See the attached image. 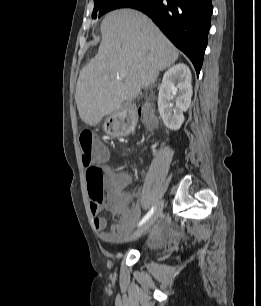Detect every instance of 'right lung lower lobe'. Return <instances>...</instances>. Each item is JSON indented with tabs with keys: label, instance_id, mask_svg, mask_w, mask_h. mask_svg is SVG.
Wrapping results in <instances>:
<instances>
[{
	"label": "right lung lower lobe",
	"instance_id": "obj_1",
	"mask_svg": "<svg viewBox=\"0 0 261 306\" xmlns=\"http://www.w3.org/2000/svg\"><path fill=\"white\" fill-rule=\"evenodd\" d=\"M212 0H140L135 8L147 14L171 42L192 61L199 74L207 46Z\"/></svg>",
	"mask_w": 261,
	"mask_h": 306
}]
</instances>
